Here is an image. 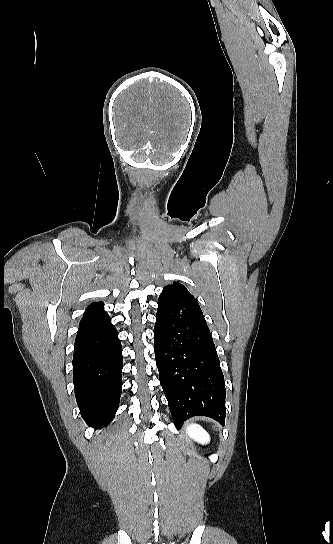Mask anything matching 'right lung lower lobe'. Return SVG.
I'll return each mask as SVG.
<instances>
[{"label": "right lung lower lobe", "mask_w": 333, "mask_h": 544, "mask_svg": "<svg viewBox=\"0 0 333 544\" xmlns=\"http://www.w3.org/2000/svg\"><path fill=\"white\" fill-rule=\"evenodd\" d=\"M122 346L108 314L80 323L74 344L73 383L81 416L95 429L108 425L119 407Z\"/></svg>", "instance_id": "98d812e1"}]
</instances>
